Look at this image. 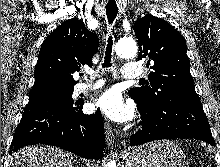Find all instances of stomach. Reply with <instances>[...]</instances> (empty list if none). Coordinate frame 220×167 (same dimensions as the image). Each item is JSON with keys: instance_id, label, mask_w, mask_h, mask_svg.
Listing matches in <instances>:
<instances>
[{"instance_id": "obj_1", "label": "stomach", "mask_w": 220, "mask_h": 167, "mask_svg": "<svg viewBox=\"0 0 220 167\" xmlns=\"http://www.w3.org/2000/svg\"><path fill=\"white\" fill-rule=\"evenodd\" d=\"M124 158L126 167H189L182 149L169 140L128 149Z\"/></svg>"}]
</instances>
